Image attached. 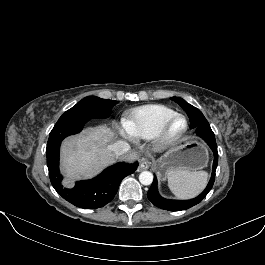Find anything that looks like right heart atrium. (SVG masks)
<instances>
[{
  "label": "right heart atrium",
  "mask_w": 265,
  "mask_h": 265,
  "mask_svg": "<svg viewBox=\"0 0 265 265\" xmlns=\"http://www.w3.org/2000/svg\"><path fill=\"white\" fill-rule=\"evenodd\" d=\"M119 132L121 133V135H123V136H125V137H128V136H129V134H128L126 128L124 127V125H123V127H120V128H119Z\"/></svg>",
  "instance_id": "obj_1"
}]
</instances>
